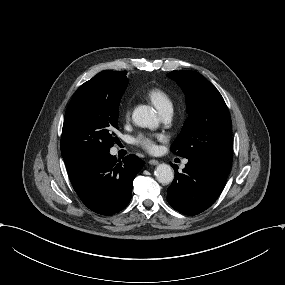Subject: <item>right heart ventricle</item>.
Listing matches in <instances>:
<instances>
[{
	"label": "right heart ventricle",
	"mask_w": 285,
	"mask_h": 285,
	"mask_svg": "<svg viewBox=\"0 0 285 285\" xmlns=\"http://www.w3.org/2000/svg\"><path fill=\"white\" fill-rule=\"evenodd\" d=\"M145 96L160 110L172 107L171 96L166 89L160 86H150Z\"/></svg>",
	"instance_id": "obj_1"
}]
</instances>
